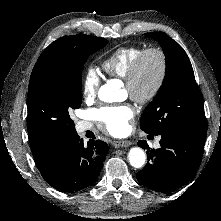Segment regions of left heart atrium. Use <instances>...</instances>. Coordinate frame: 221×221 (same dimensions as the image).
Here are the masks:
<instances>
[{"instance_id":"obj_1","label":"left heart atrium","mask_w":221,"mask_h":221,"mask_svg":"<svg viewBox=\"0 0 221 221\" xmlns=\"http://www.w3.org/2000/svg\"><path fill=\"white\" fill-rule=\"evenodd\" d=\"M134 114V108L128 104L103 106L93 110L94 119L105 131L116 136L128 130Z\"/></svg>"}]
</instances>
